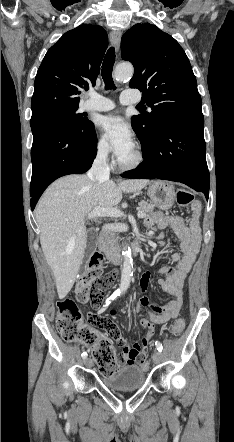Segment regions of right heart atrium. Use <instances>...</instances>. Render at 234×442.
<instances>
[{
    "mask_svg": "<svg viewBox=\"0 0 234 442\" xmlns=\"http://www.w3.org/2000/svg\"><path fill=\"white\" fill-rule=\"evenodd\" d=\"M111 147L109 143L103 139L99 138L95 144V156L98 160L107 162L110 159Z\"/></svg>",
    "mask_w": 234,
    "mask_h": 442,
    "instance_id": "right-heart-atrium-1",
    "label": "right heart atrium"
}]
</instances>
